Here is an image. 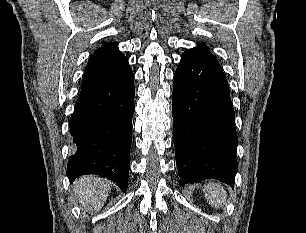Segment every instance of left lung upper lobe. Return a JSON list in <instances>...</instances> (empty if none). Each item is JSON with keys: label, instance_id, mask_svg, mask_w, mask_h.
<instances>
[{"label": "left lung upper lobe", "instance_id": "5c2ea615", "mask_svg": "<svg viewBox=\"0 0 306 233\" xmlns=\"http://www.w3.org/2000/svg\"><path fill=\"white\" fill-rule=\"evenodd\" d=\"M191 50H195V51H199V52H204V53H207V54L212 55V54L210 53V51L208 50V48H207L206 46H204V45H201V46H199V47H195V48H193V49H191Z\"/></svg>", "mask_w": 306, "mask_h": 233}]
</instances>
